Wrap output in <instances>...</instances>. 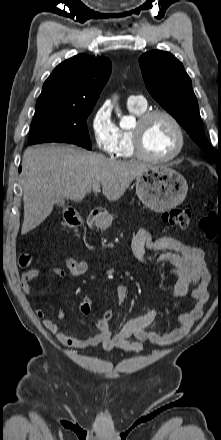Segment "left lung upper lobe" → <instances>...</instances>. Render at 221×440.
Masks as SVG:
<instances>
[{
    "label": "left lung upper lobe",
    "instance_id": "obj_1",
    "mask_svg": "<svg viewBox=\"0 0 221 440\" xmlns=\"http://www.w3.org/2000/svg\"><path fill=\"white\" fill-rule=\"evenodd\" d=\"M139 64L145 85L153 98L188 132L191 138L214 160L202 125L191 79L182 63L171 53L154 50L144 53Z\"/></svg>",
    "mask_w": 221,
    "mask_h": 440
}]
</instances>
